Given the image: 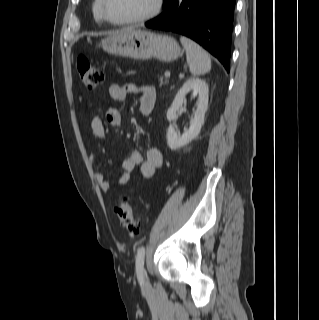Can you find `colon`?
<instances>
[{"label": "colon", "instance_id": "obj_1", "mask_svg": "<svg viewBox=\"0 0 319 320\" xmlns=\"http://www.w3.org/2000/svg\"><path fill=\"white\" fill-rule=\"evenodd\" d=\"M77 69L83 84L89 88H96L104 81V74L96 68L86 57L77 58ZM114 213L120 225L130 236H135L141 230V218L136 213L129 197L121 198L114 207Z\"/></svg>", "mask_w": 319, "mask_h": 320}]
</instances>
